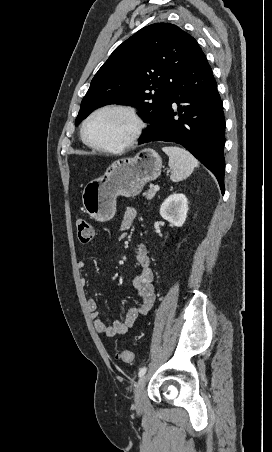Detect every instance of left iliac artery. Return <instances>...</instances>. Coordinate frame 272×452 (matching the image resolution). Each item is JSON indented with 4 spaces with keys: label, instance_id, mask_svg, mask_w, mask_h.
<instances>
[{
    "label": "left iliac artery",
    "instance_id": "obj_1",
    "mask_svg": "<svg viewBox=\"0 0 272 452\" xmlns=\"http://www.w3.org/2000/svg\"><path fill=\"white\" fill-rule=\"evenodd\" d=\"M146 370H147L146 367H142V368L139 370L138 376H139V377L143 376V375L146 373Z\"/></svg>",
    "mask_w": 272,
    "mask_h": 452
}]
</instances>
